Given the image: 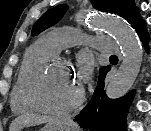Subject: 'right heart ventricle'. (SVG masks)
Segmentation results:
<instances>
[{
  "mask_svg": "<svg viewBox=\"0 0 151 131\" xmlns=\"http://www.w3.org/2000/svg\"><path fill=\"white\" fill-rule=\"evenodd\" d=\"M54 54L56 51L45 38L26 50L10 95V106L14 113L24 114L35 110L26 93L28 78L39 63Z\"/></svg>",
  "mask_w": 151,
  "mask_h": 131,
  "instance_id": "obj_1",
  "label": "right heart ventricle"
}]
</instances>
